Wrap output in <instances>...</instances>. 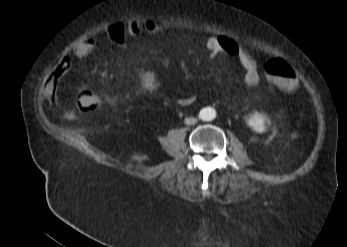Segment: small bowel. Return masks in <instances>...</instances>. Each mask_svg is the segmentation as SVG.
<instances>
[{"label": "small bowel", "mask_w": 347, "mask_h": 247, "mask_svg": "<svg viewBox=\"0 0 347 247\" xmlns=\"http://www.w3.org/2000/svg\"><path fill=\"white\" fill-rule=\"evenodd\" d=\"M162 30L157 24L151 21H131L126 26L120 23H113L106 27L101 37L115 43L124 45L128 36H139L143 32L159 33ZM99 38L92 37L87 40L77 42L72 52L75 56L83 58L88 56L98 45ZM205 47L212 58L221 56H231L239 62L244 69L242 82L248 89L255 88L259 83V75L257 71V62L254 57L243 48L235 39L226 35H210L205 40ZM70 61L62 60L55 68L45 84L44 92L50 102H54L59 80L69 71ZM141 85L144 89L154 91L162 87V79L154 72H146L140 78ZM90 91L81 88L80 92ZM195 102L193 95L182 97L178 100V104L183 107L192 105Z\"/></svg>", "instance_id": "obj_1"}]
</instances>
